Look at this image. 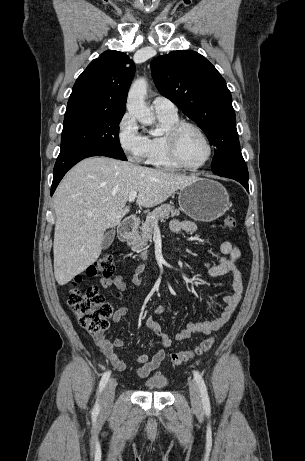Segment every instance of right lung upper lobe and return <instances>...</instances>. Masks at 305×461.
<instances>
[{
  "label": "right lung upper lobe",
  "mask_w": 305,
  "mask_h": 461,
  "mask_svg": "<svg viewBox=\"0 0 305 461\" xmlns=\"http://www.w3.org/2000/svg\"><path fill=\"white\" fill-rule=\"evenodd\" d=\"M134 74V62L125 53H102L76 80L67 109L92 108L125 113L127 93Z\"/></svg>",
  "instance_id": "cb5924a9"
}]
</instances>
